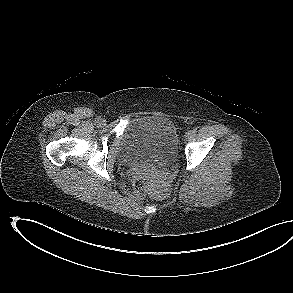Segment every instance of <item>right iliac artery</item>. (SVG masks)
<instances>
[{"instance_id": "1", "label": "right iliac artery", "mask_w": 293, "mask_h": 293, "mask_svg": "<svg viewBox=\"0 0 293 293\" xmlns=\"http://www.w3.org/2000/svg\"><path fill=\"white\" fill-rule=\"evenodd\" d=\"M100 120H101V118H100V117L96 118V122H99Z\"/></svg>"}]
</instances>
